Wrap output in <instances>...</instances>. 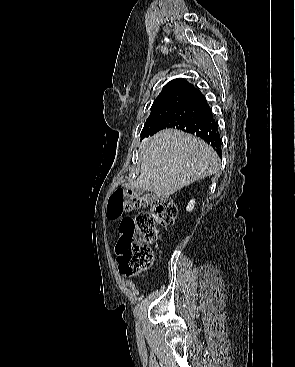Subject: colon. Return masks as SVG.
Returning a JSON list of instances; mask_svg holds the SVG:
<instances>
[{"label": "colon", "mask_w": 295, "mask_h": 367, "mask_svg": "<svg viewBox=\"0 0 295 367\" xmlns=\"http://www.w3.org/2000/svg\"><path fill=\"white\" fill-rule=\"evenodd\" d=\"M150 205L149 212H140L134 218H124L119 227L116 243L118 269L122 274H133L151 266L153 244L158 237L157 226H169L177 217L173 199L152 194L137 195L116 189L110 198L107 215L117 219L130 212Z\"/></svg>", "instance_id": "5ec220e1"}]
</instances>
